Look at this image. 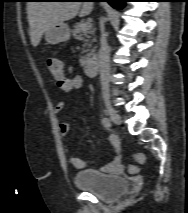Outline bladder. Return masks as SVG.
<instances>
[{"label": "bladder", "mask_w": 188, "mask_h": 213, "mask_svg": "<svg viewBox=\"0 0 188 213\" xmlns=\"http://www.w3.org/2000/svg\"><path fill=\"white\" fill-rule=\"evenodd\" d=\"M76 187L97 195L103 201H113L127 191L128 181L120 176L107 175L98 170H84L73 177Z\"/></svg>", "instance_id": "1"}]
</instances>
